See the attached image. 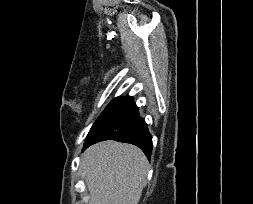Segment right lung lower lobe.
<instances>
[{
  "mask_svg": "<svg viewBox=\"0 0 253 204\" xmlns=\"http://www.w3.org/2000/svg\"><path fill=\"white\" fill-rule=\"evenodd\" d=\"M104 140H116L136 145L150 159L153 147L152 137L131 97L126 99L94 130L85 141L82 151Z\"/></svg>",
  "mask_w": 253,
  "mask_h": 204,
  "instance_id": "1",
  "label": "right lung lower lobe"
}]
</instances>
